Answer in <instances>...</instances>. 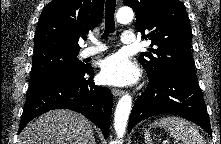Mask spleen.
Segmentation results:
<instances>
[{
  "label": "spleen",
  "instance_id": "1",
  "mask_svg": "<svg viewBox=\"0 0 221 144\" xmlns=\"http://www.w3.org/2000/svg\"><path fill=\"white\" fill-rule=\"evenodd\" d=\"M153 127L160 126L180 140L182 144H206L199 131L186 119L176 116L162 117L152 123ZM145 143L152 144L150 134H145Z\"/></svg>",
  "mask_w": 221,
  "mask_h": 144
}]
</instances>
